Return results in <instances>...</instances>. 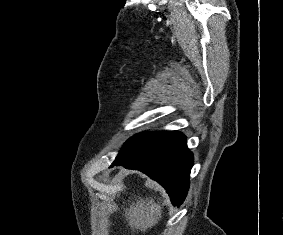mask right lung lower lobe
<instances>
[{"instance_id":"98d812e1","label":"right lung lower lobe","mask_w":283,"mask_h":235,"mask_svg":"<svg viewBox=\"0 0 283 235\" xmlns=\"http://www.w3.org/2000/svg\"><path fill=\"white\" fill-rule=\"evenodd\" d=\"M113 165L142 171L160 183L167 190L172 204L179 206L189 188L193 155L187 148L186 137L173 131L143 155Z\"/></svg>"}]
</instances>
